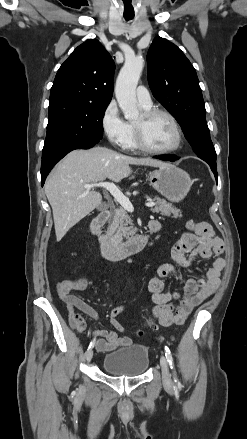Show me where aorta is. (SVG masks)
I'll list each match as a JSON object with an SVG mask.
<instances>
[{
  "label": "aorta",
  "mask_w": 247,
  "mask_h": 439,
  "mask_svg": "<svg viewBox=\"0 0 247 439\" xmlns=\"http://www.w3.org/2000/svg\"><path fill=\"white\" fill-rule=\"evenodd\" d=\"M144 67L140 57L127 58L116 80L115 95L127 120L139 115L136 99V87Z\"/></svg>",
  "instance_id": "aorta-1"
}]
</instances>
